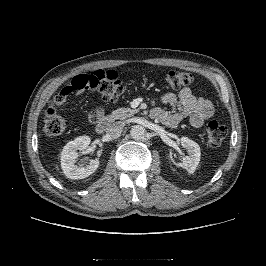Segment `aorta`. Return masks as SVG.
Listing matches in <instances>:
<instances>
[{
	"mask_svg": "<svg viewBox=\"0 0 266 266\" xmlns=\"http://www.w3.org/2000/svg\"><path fill=\"white\" fill-rule=\"evenodd\" d=\"M130 135L134 140H141L145 137V129L141 125H134L130 130Z\"/></svg>",
	"mask_w": 266,
	"mask_h": 266,
	"instance_id": "obj_1",
	"label": "aorta"
}]
</instances>
